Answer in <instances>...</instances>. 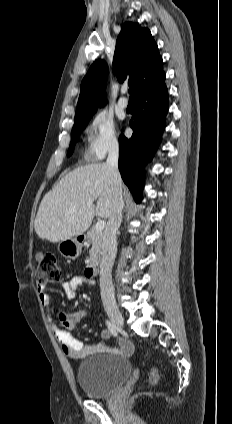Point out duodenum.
I'll return each mask as SVG.
<instances>
[{
	"mask_svg": "<svg viewBox=\"0 0 232 424\" xmlns=\"http://www.w3.org/2000/svg\"><path fill=\"white\" fill-rule=\"evenodd\" d=\"M84 236H82V239ZM100 262L97 258H93L90 260L89 264L87 265L86 272L89 276H96L99 272Z\"/></svg>",
	"mask_w": 232,
	"mask_h": 424,
	"instance_id": "410a0bca",
	"label": "duodenum"
}]
</instances>
